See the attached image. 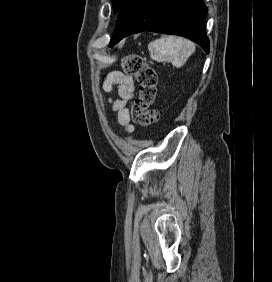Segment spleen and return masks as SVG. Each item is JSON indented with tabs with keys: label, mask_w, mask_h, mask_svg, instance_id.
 I'll use <instances>...</instances> for the list:
<instances>
[{
	"label": "spleen",
	"mask_w": 272,
	"mask_h": 282,
	"mask_svg": "<svg viewBox=\"0 0 272 282\" xmlns=\"http://www.w3.org/2000/svg\"><path fill=\"white\" fill-rule=\"evenodd\" d=\"M148 49L152 59L169 60L176 67H181L195 51V45L181 37H161L149 43Z\"/></svg>",
	"instance_id": "spleen-1"
}]
</instances>
